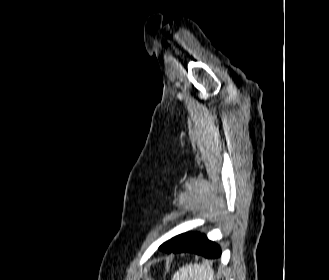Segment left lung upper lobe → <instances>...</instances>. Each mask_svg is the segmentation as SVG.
<instances>
[{"instance_id":"left-lung-upper-lobe-1","label":"left lung upper lobe","mask_w":329,"mask_h":280,"mask_svg":"<svg viewBox=\"0 0 329 280\" xmlns=\"http://www.w3.org/2000/svg\"><path fill=\"white\" fill-rule=\"evenodd\" d=\"M168 242H165L164 244H162L159 249H161L162 247L166 246Z\"/></svg>"}]
</instances>
